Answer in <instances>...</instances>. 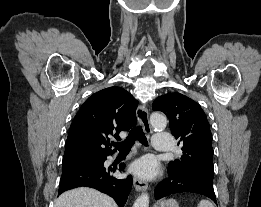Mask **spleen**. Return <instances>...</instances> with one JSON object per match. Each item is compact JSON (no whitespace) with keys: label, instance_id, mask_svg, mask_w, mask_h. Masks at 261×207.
<instances>
[{"label":"spleen","instance_id":"3e777b00","mask_svg":"<svg viewBox=\"0 0 261 207\" xmlns=\"http://www.w3.org/2000/svg\"><path fill=\"white\" fill-rule=\"evenodd\" d=\"M197 207H214L213 204L208 200H201Z\"/></svg>","mask_w":261,"mask_h":207}]
</instances>
